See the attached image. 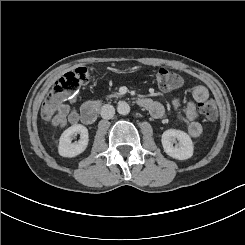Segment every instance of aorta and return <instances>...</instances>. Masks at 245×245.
<instances>
[{
  "mask_svg": "<svg viewBox=\"0 0 245 245\" xmlns=\"http://www.w3.org/2000/svg\"><path fill=\"white\" fill-rule=\"evenodd\" d=\"M117 112L121 115H127L130 112V106L127 102H119L117 106Z\"/></svg>",
  "mask_w": 245,
  "mask_h": 245,
  "instance_id": "762f6f07",
  "label": "aorta"
}]
</instances>
